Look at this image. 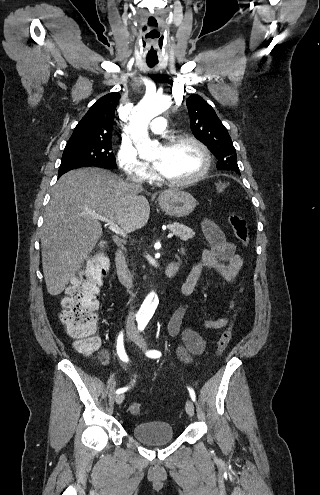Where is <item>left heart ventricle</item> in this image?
Returning <instances> with one entry per match:
<instances>
[{"mask_svg":"<svg viewBox=\"0 0 320 495\" xmlns=\"http://www.w3.org/2000/svg\"><path fill=\"white\" fill-rule=\"evenodd\" d=\"M153 162L164 176L175 180L190 178L196 175L203 166L201 153L189 143L160 148Z\"/></svg>","mask_w":320,"mask_h":495,"instance_id":"obj_1","label":"left heart ventricle"}]
</instances>
